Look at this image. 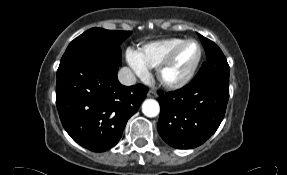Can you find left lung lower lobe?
<instances>
[{
  "label": "left lung lower lobe",
  "mask_w": 287,
  "mask_h": 175,
  "mask_svg": "<svg viewBox=\"0 0 287 175\" xmlns=\"http://www.w3.org/2000/svg\"><path fill=\"white\" fill-rule=\"evenodd\" d=\"M229 99V81L215 78L160 93L157 125L162 139L177 149L203 144L218 129Z\"/></svg>",
  "instance_id": "1"
}]
</instances>
